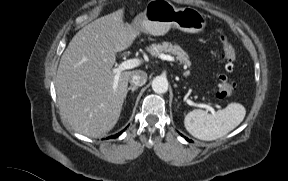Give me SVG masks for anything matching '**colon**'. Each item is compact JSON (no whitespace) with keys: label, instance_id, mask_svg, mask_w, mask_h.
<instances>
[{"label":"colon","instance_id":"obj_1","mask_svg":"<svg viewBox=\"0 0 288 181\" xmlns=\"http://www.w3.org/2000/svg\"><path fill=\"white\" fill-rule=\"evenodd\" d=\"M219 37L223 46V58L225 60L224 69L226 72H232L234 70V61L236 58L235 50L227 36L221 30L219 31ZM219 81V89L216 95L219 99L225 100L233 94L235 86L224 74L219 76Z\"/></svg>","mask_w":288,"mask_h":181}]
</instances>
